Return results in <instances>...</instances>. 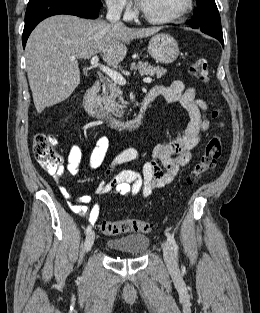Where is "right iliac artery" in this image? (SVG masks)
<instances>
[{"label": "right iliac artery", "instance_id": "right-iliac-artery-1", "mask_svg": "<svg viewBox=\"0 0 260 313\" xmlns=\"http://www.w3.org/2000/svg\"><path fill=\"white\" fill-rule=\"evenodd\" d=\"M89 231H91V226L90 225L85 230L86 234H88Z\"/></svg>", "mask_w": 260, "mask_h": 313}]
</instances>
